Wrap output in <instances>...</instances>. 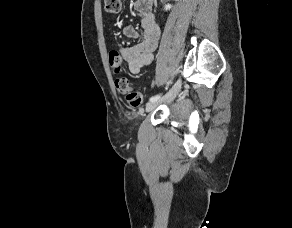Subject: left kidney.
<instances>
[{"instance_id":"1","label":"left kidney","mask_w":292,"mask_h":228,"mask_svg":"<svg viewBox=\"0 0 292 228\" xmlns=\"http://www.w3.org/2000/svg\"><path fill=\"white\" fill-rule=\"evenodd\" d=\"M171 7H172V6H171L170 4H166L164 9L167 11V10H170Z\"/></svg>"}]
</instances>
